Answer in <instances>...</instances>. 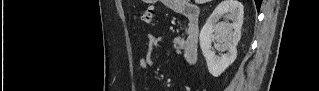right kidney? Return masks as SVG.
<instances>
[{"mask_svg":"<svg viewBox=\"0 0 319 91\" xmlns=\"http://www.w3.org/2000/svg\"><path fill=\"white\" fill-rule=\"evenodd\" d=\"M243 14V5L238 0H224L215 8L201 29L200 47L208 70L214 77L220 76L237 57L236 46L241 37ZM221 18L224 21L220 22ZM211 39L217 41L218 51L227 53L217 56L211 50Z\"/></svg>","mask_w":319,"mask_h":91,"instance_id":"obj_1","label":"right kidney"}]
</instances>
